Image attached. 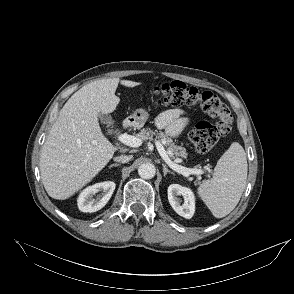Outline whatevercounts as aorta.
Listing matches in <instances>:
<instances>
[{
    "mask_svg": "<svg viewBox=\"0 0 294 294\" xmlns=\"http://www.w3.org/2000/svg\"><path fill=\"white\" fill-rule=\"evenodd\" d=\"M156 168L151 163H144L139 166L138 174L143 179H152L155 176Z\"/></svg>",
    "mask_w": 294,
    "mask_h": 294,
    "instance_id": "aorta-1",
    "label": "aorta"
}]
</instances>
